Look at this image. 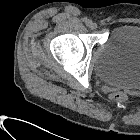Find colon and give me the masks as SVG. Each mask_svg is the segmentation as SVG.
<instances>
[{"label": "colon", "mask_w": 140, "mask_h": 140, "mask_svg": "<svg viewBox=\"0 0 140 140\" xmlns=\"http://www.w3.org/2000/svg\"><path fill=\"white\" fill-rule=\"evenodd\" d=\"M127 98V94L123 91H116L111 94V99L115 102H125Z\"/></svg>", "instance_id": "5ec220e1"}]
</instances>
